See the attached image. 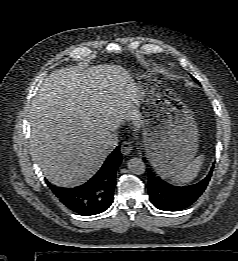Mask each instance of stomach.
I'll list each match as a JSON object with an SVG mask.
<instances>
[{
	"label": "stomach",
	"instance_id": "obj_1",
	"mask_svg": "<svg viewBox=\"0 0 238 261\" xmlns=\"http://www.w3.org/2000/svg\"><path fill=\"white\" fill-rule=\"evenodd\" d=\"M133 93L132 107L143 119L147 157L161 177L169 178L182 171L197 152L199 134L193 112L159 80L139 78Z\"/></svg>",
	"mask_w": 238,
	"mask_h": 261
}]
</instances>
